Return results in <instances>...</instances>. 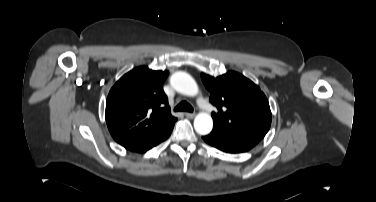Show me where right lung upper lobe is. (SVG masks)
I'll use <instances>...</instances> for the list:
<instances>
[{"instance_id": "1", "label": "right lung upper lobe", "mask_w": 376, "mask_h": 202, "mask_svg": "<svg viewBox=\"0 0 376 202\" xmlns=\"http://www.w3.org/2000/svg\"><path fill=\"white\" fill-rule=\"evenodd\" d=\"M168 71L137 67L121 77L106 101V123L114 140L132 149L152 141L176 118L162 89Z\"/></svg>"}]
</instances>
